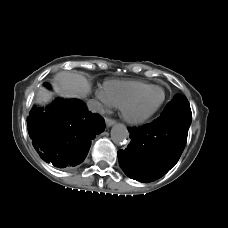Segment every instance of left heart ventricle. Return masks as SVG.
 <instances>
[{"instance_id":"left-heart-ventricle-1","label":"left heart ventricle","mask_w":228,"mask_h":228,"mask_svg":"<svg viewBox=\"0 0 228 228\" xmlns=\"http://www.w3.org/2000/svg\"><path fill=\"white\" fill-rule=\"evenodd\" d=\"M162 99V91L153 89L142 95L136 102L129 106L132 115H140L152 110Z\"/></svg>"}]
</instances>
